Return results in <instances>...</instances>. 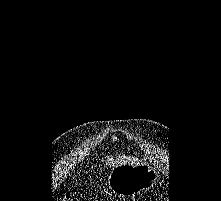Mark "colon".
Masks as SVG:
<instances>
[{"label":"colon","mask_w":221,"mask_h":201,"mask_svg":"<svg viewBox=\"0 0 221 201\" xmlns=\"http://www.w3.org/2000/svg\"><path fill=\"white\" fill-rule=\"evenodd\" d=\"M60 201H79L78 199L71 196H64Z\"/></svg>","instance_id":"obj_1"}]
</instances>
